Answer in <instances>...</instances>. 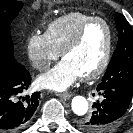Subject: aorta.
I'll return each mask as SVG.
<instances>
[{
    "label": "aorta",
    "instance_id": "obj_1",
    "mask_svg": "<svg viewBox=\"0 0 133 133\" xmlns=\"http://www.w3.org/2000/svg\"><path fill=\"white\" fill-rule=\"evenodd\" d=\"M71 107L78 116H84L88 112V102L85 97L80 95L73 98Z\"/></svg>",
    "mask_w": 133,
    "mask_h": 133
}]
</instances>
